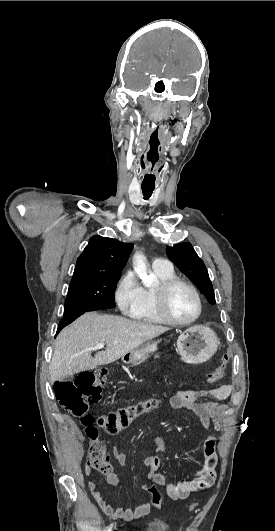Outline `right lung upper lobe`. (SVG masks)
I'll list each match as a JSON object with an SVG mask.
<instances>
[{"instance_id": "1", "label": "right lung upper lobe", "mask_w": 275, "mask_h": 531, "mask_svg": "<svg viewBox=\"0 0 275 531\" xmlns=\"http://www.w3.org/2000/svg\"><path fill=\"white\" fill-rule=\"evenodd\" d=\"M132 244L95 235L79 256L73 277L92 274H121Z\"/></svg>"}]
</instances>
